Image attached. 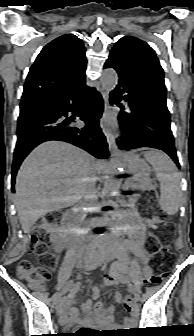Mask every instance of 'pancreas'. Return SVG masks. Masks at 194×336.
I'll list each match as a JSON object with an SVG mask.
<instances>
[{
    "label": "pancreas",
    "instance_id": "1",
    "mask_svg": "<svg viewBox=\"0 0 194 336\" xmlns=\"http://www.w3.org/2000/svg\"><path fill=\"white\" fill-rule=\"evenodd\" d=\"M151 186H152L151 180L147 177L145 178L139 177L130 184V187L132 189H137V190H151ZM136 201H137L136 197L129 199V204L131 205L129 206V209L131 210L135 209L134 204L136 203Z\"/></svg>",
    "mask_w": 194,
    "mask_h": 336
}]
</instances>
